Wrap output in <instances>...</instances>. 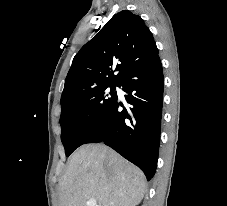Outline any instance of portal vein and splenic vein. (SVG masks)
I'll list each match as a JSON object with an SVG mask.
<instances>
[{
  "mask_svg": "<svg viewBox=\"0 0 227 206\" xmlns=\"http://www.w3.org/2000/svg\"><path fill=\"white\" fill-rule=\"evenodd\" d=\"M87 206H99L95 199H90L87 202Z\"/></svg>",
  "mask_w": 227,
  "mask_h": 206,
  "instance_id": "18ae733b",
  "label": "portal vein and splenic vein"
}]
</instances>
